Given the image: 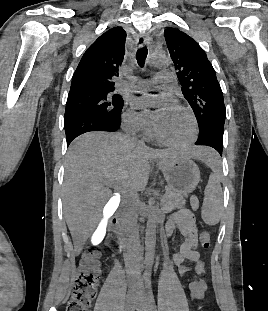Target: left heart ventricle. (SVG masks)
Segmentation results:
<instances>
[{"label": "left heart ventricle", "instance_id": "b2bd125f", "mask_svg": "<svg viewBox=\"0 0 268 311\" xmlns=\"http://www.w3.org/2000/svg\"><path fill=\"white\" fill-rule=\"evenodd\" d=\"M158 127L161 134L172 141H182L191 132V124L188 117L178 108L158 122Z\"/></svg>", "mask_w": 268, "mask_h": 311}]
</instances>
